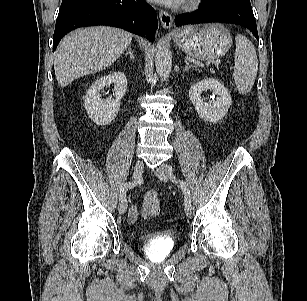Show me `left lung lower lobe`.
<instances>
[{
	"label": "left lung lower lobe",
	"mask_w": 307,
	"mask_h": 301,
	"mask_svg": "<svg viewBox=\"0 0 307 301\" xmlns=\"http://www.w3.org/2000/svg\"><path fill=\"white\" fill-rule=\"evenodd\" d=\"M203 8L192 14L175 17V25L221 22L238 24L248 28L258 40L255 17L250 1H229L215 3L202 1Z\"/></svg>",
	"instance_id": "obj_1"
}]
</instances>
